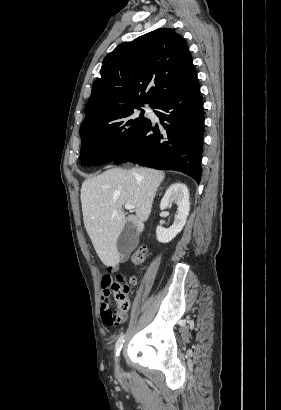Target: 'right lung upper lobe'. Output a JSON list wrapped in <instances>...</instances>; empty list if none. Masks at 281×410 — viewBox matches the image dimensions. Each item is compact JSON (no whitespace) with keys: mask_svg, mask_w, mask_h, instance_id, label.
I'll use <instances>...</instances> for the list:
<instances>
[{"mask_svg":"<svg viewBox=\"0 0 281 410\" xmlns=\"http://www.w3.org/2000/svg\"><path fill=\"white\" fill-rule=\"evenodd\" d=\"M100 75L93 83L83 123L121 107L146 102L153 106L197 82L185 40L169 28L117 46L104 58Z\"/></svg>","mask_w":281,"mask_h":410,"instance_id":"1","label":"right lung upper lobe"}]
</instances>
